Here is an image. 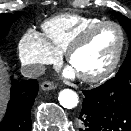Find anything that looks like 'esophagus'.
<instances>
[{"instance_id":"1","label":"esophagus","mask_w":131,"mask_h":131,"mask_svg":"<svg viewBox=\"0 0 131 131\" xmlns=\"http://www.w3.org/2000/svg\"><path fill=\"white\" fill-rule=\"evenodd\" d=\"M54 88H55V85L53 84V82H50V81H45L41 84V89L44 91L52 90Z\"/></svg>"}]
</instances>
